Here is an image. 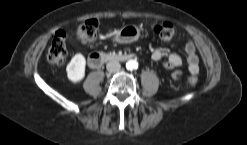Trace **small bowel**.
Returning <instances> with one entry per match:
<instances>
[{
    "mask_svg": "<svg viewBox=\"0 0 247 145\" xmlns=\"http://www.w3.org/2000/svg\"><path fill=\"white\" fill-rule=\"evenodd\" d=\"M183 50L186 54L188 70L192 75H196L199 72V58L196 53L195 44L192 41L187 42ZM153 61H165V66L168 69H173L182 65V59L175 53H169L165 50H155L151 54Z\"/></svg>",
    "mask_w": 247,
    "mask_h": 145,
    "instance_id": "obj_1",
    "label": "small bowel"
}]
</instances>
